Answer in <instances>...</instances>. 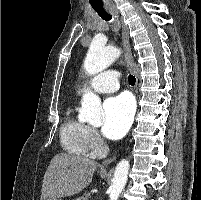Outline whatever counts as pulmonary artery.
I'll return each instance as SVG.
<instances>
[{
	"mask_svg": "<svg viewBox=\"0 0 201 200\" xmlns=\"http://www.w3.org/2000/svg\"><path fill=\"white\" fill-rule=\"evenodd\" d=\"M88 84L98 93H111L119 88V76L113 70L105 71L90 79Z\"/></svg>",
	"mask_w": 201,
	"mask_h": 200,
	"instance_id": "1",
	"label": "pulmonary artery"
}]
</instances>
